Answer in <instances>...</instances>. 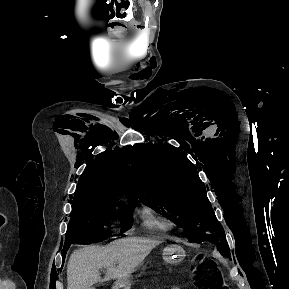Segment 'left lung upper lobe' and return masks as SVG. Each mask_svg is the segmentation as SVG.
I'll return each mask as SVG.
<instances>
[{
  "label": "left lung upper lobe",
  "mask_w": 289,
  "mask_h": 289,
  "mask_svg": "<svg viewBox=\"0 0 289 289\" xmlns=\"http://www.w3.org/2000/svg\"><path fill=\"white\" fill-rule=\"evenodd\" d=\"M139 200L159 214L181 223L190 242L216 244L230 258L223 227L218 222L195 166L171 146L146 144L139 150Z\"/></svg>",
  "instance_id": "left-lung-upper-lobe-1"
}]
</instances>
